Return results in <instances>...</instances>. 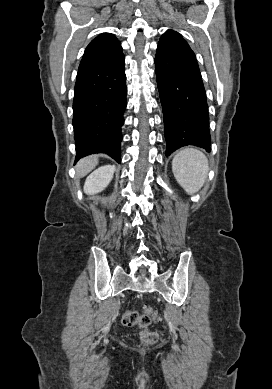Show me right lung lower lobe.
<instances>
[{"label": "right lung lower lobe", "instance_id": "obj_1", "mask_svg": "<svg viewBox=\"0 0 272 389\" xmlns=\"http://www.w3.org/2000/svg\"><path fill=\"white\" fill-rule=\"evenodd\" d=\"M125 57L79 71L73 100L76 161L94 153H105L121 161V127L126 108Z\"/></svg>", "mask_w": 272, "mask_h": 389}]
</instances>
